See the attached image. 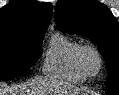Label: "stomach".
I'll return each instance as SVG.
<instances>
[{
  "mask_svg": "<svg viewBox=\"0 0 119 95\" xmlns=\"http://www.w3.org/2000/svg\"><path fill=\"white\" fill-rule=\"evenodd\" d=\"M72 95H87L86 93L75 92Z\"/></svg>",
  "mask_w": 119,
  "mask_h": 95,
  "instance_id": "stomach-1",
  "label": "stomach"
}]
</instances>
